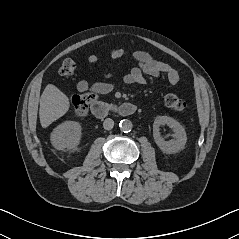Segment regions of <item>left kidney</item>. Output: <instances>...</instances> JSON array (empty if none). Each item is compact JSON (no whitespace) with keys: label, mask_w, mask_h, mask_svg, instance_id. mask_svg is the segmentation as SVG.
<instances>
[{"label":"left kidney","mask_w":239,"mask_h":239,"mask_svg":"<svg viewBox=\"0 0 239 239\" xmlns=\"http://www.w3.org/2000/svg\"><path fill=\"white\" fill-rule=\"evenodd\" d=\"M165 124L174 132V138L169 141H165L159 132V127ZM153 137L158 147L166 154H174L183 150L187 142L184 127L178 121L168 116H157L155 118L153 123Z\"/></svg>","instance_id":"1"}]
</instances>
